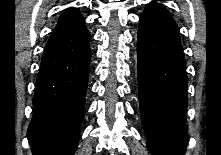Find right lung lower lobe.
Returning <instances> with one entry per match:
<instances>
[{
    "label": "right lung lower lobe",
    "instance_id": "right-lung-lower-lobe-1",
    "mask_svg": "<svg viewBox=\"0 0 221 155\" xmlns=\"http://www.w3.org/2000/svg\"><path fill=\"white\" fill-rule=\"evenodd\" d=\"M84 23L54 30L43 53L27 137L33 155H73L80 138L90 69Z\"/></svg>",
    "mask_w": 221,
    "mask_h": 155
}]
</instances>
